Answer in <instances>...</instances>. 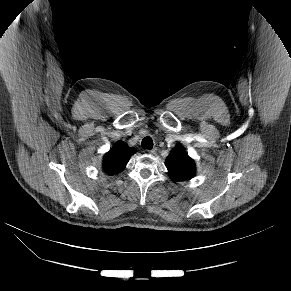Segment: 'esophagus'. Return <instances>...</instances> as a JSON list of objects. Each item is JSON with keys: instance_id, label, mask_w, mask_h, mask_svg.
<instances>
[{"instance_id": "obj_1", "label": "esophagus", "mask_w": 291, "mask_h": 291, "mask_svg": "<svg viewBox=\"0 0 291 291\" xmlns=\"http://www.w3.org/2000/svg\"><path fill=\"white\" fill-rule=\"evenodd\" d=\"M156 150H157V149H156V148H154V149H152V150L148 151V153H149V154H151V155H154V154L156 153Z\"/></svg>"}]
</instances>
